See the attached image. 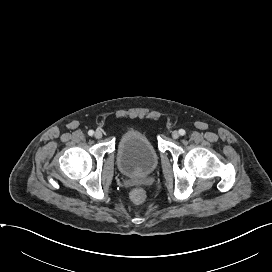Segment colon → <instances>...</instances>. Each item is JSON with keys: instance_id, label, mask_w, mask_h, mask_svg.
Here are the masks:
<instances>
[{"instance_id": "obj_1", "label": "colon", "mask_w": 272, "mask_h": 272, "mask_svg": "<svg viewBox=\"0 0 272 272\" xmlns=\"http://www.w3.org/2000/svg\"><path fill=\"white\" fill-rule=\"evenodd\" d=\"M131 199L136 204H142L146 200V193L140 188H136L131 192Z\"/></svg>"}]
</instances>
